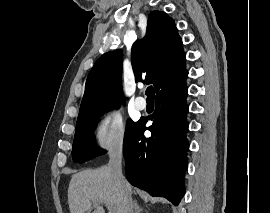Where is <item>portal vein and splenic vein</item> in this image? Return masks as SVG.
Segmentation results:
<instances>
[{"mask_svg":"<svg viewBox=\"0 0 270 213\" xmlns=\"http://www.w3.org/2000/svg\"><path fill=\"white\" fill-rule=\"evenodd\" d=\"M104 204L109 208V213H115V212L110 208V206L108 205V203L104 202Z\"/></svg>","mask_w":270,"mask_h":213,"instance_id":"obj_1","label":"portal vein and splenic vein"}]
</instances>
